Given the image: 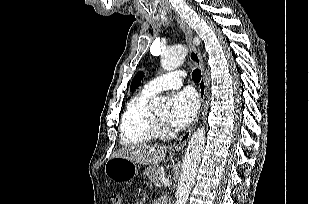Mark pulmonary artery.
<instances>
[{"instance_id":"1","label":"pulmonary artery","mask_w":309,"mask_h":204,"mask_svg":"<svg viewBox=\"0 0 309 204\" xmlns=\"http://www.w3.org/2000/svg\"><path fill=\"white\" fill-rule=\"evenodd\" d=\"M184 77L182 72L167 73L149 81L143 90L149 94H157L164 90L177 89L183 85Z\"/></svg>"}]
</instances>
